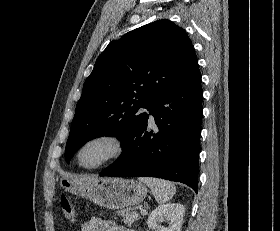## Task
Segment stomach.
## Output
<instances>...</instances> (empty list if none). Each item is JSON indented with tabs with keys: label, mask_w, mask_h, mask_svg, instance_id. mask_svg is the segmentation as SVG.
<instances>
[{
	"label": "stomach",
	"mask_w": 280,
	"mask_h": 231,
	"mask_svg": "<svg viewBox=\"0 0 280 231\" xmlns=\"http://www.w3.org/2000/svg\"><path fill=\"white\" fill-rule=\"evenodd\" d=\"M60 187L69 193L87 197L97 205L108 209H122L143 201L147 187L134 179L122 177H84V175H62Z\"/></svg>",
	"instance_id": "stomach-1"
}]
</instances>
